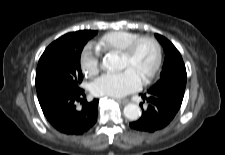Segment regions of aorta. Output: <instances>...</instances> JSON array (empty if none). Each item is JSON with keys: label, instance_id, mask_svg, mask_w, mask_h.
Wrapping results in <instances>:
<instances>
[{"label": "aorta", "instance_id": "762f6f07", "mask_svg": "<svg viewBox=\"0 0 225 155\" xmlns=\"http://www.w3.org/2000/svg\"><path fill=\"white\" fill-rule=\"evenodd\" d=\"M122 68L121 59L118 55L108 53L103 58L102 69L118 70ZM124 116L131 121L139 119L141 116L140 107L136 104H128L124 107Z\"/></svg>", "mask_w": 225, "mask_h": 155}]
</instances>
